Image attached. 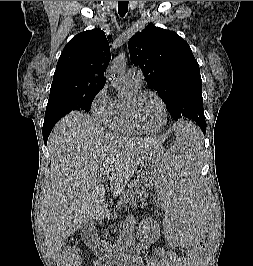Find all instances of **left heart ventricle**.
<instances>
[{"instance_id":"b2bd125f","label":"left heart ventricle","mask_w":253,"mask_h":266,"mask_svg":"<svg viewBox=\"0 0 253 266\" xmlns=\"http://www.w3.org/2000/svg\"><path fill=\"white\" fill-rule=\"evenodd\" d=\"M137 115L141 126L145 129L154 130L163 123L162 107L153 96H145L138 102Z\"/></svg>"}]
</instances>
